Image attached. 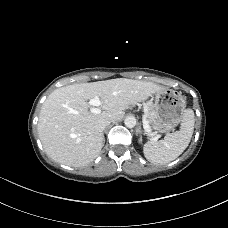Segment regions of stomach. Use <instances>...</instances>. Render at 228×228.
Wrapping results in <instances>:
<instances>
[{"label": "stomach", "instance_id": "stomach-1", "mask_svg": "<svg viewBox=\"0 0 228 228\" xmlns=\"http://www.w3.org/2000/svg\"><path fill=\"white\" fill-rule=\"evenodd\" d=\"M153 108L156 119L151 123L152 129L158 133L174 131L182 121L186 102L183 96L171 89H164L154 94Z\"/></svg>", "mask_w": 228, "mask_h": 228}]
</instances>
